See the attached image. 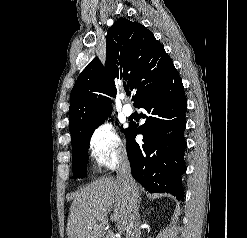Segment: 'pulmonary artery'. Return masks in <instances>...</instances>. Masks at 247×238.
<instances>
[{
	"label": "pulmonary artery",
	"mask_w": 247,
	"mask_h": 238,
	"mask_svg": "<svg viewBox=\"0 0 247 238\" xmlns=\"http://www.w3.org/2000/svg\"><path fill=\"white\" fill-rule=\"evenodd\" d=\"M122 112L126 115V116H130L133 112L132 107L129 104H124L122 107Z\"/></svg>",
	"instance_id": "obj_1"
}]
</instances>
